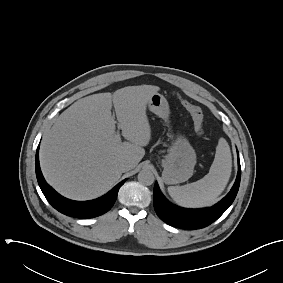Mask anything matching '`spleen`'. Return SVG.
Instances as JSON below:
<instances>
[{
    "label": "spleen",
    "instance_id": "spleen-1",
    "mask_svg": "<svg viewBox=\"0 0 283 283\" xmlns=\"http://www.w3.org/2000/svg\"><path fill=\"white\" fill-rule=\"evenodd\" d=\"M231 169L230 147L224 138H220L209 173L196 182L184 186H170L168 193L177 204L183 207L211 206L218 201L219 195L224 191Z\"/></svg>",
    "mask_w": 283,
    "mask_h": 283
}]
</instances>
